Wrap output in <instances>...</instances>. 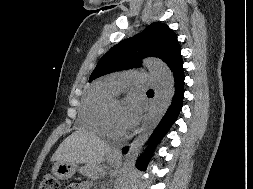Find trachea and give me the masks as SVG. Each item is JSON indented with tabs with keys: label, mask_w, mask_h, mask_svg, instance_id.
I'll return each instance as SVG.
<instances>
[{
	"label": "trachea",
	"mask_w": 253,
	"mask_h": 189,
	"mask_svg": "<svg viewBox=\"0 0 253 189\" xmlns=\"http://www.w3.org/2000/svg\"><path fill=\"white\" fill-rule=\"evenodd\" d=\"M149 92H153V90H148Z\"/></svg>",
	"instance_id": "obj_1"
}]
</instances>
